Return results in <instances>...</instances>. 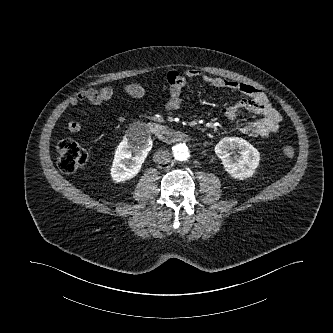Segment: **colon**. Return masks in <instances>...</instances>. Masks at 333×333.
I'll return each mask as SVG.
<instances>
[{
  "label": "colon",
  "instance_id": "1",
  "mask_svg": "<svg viewBox=\"0 0 333 333\" xmlns=\"http://www.w3.org/2000/svg\"><path fill=\"white\" fill-rule=\"evenodd\" d=\"M58 154V168L63 173L69 174L79 169L87 162V152L77 142L70 138L61 139L56 146ZM283 155L292 158L295 150L292 146H284Z\"/></svg>",
  "mask_w": 333,
  "mask_h": 333
}]
</instances>
